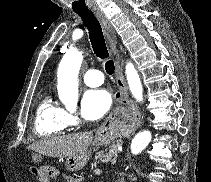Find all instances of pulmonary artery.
Returning <instances> with one entry per match:
<instances>
[{"label": "pulmonary artery", "instance_id": "pulmonary-artery-1", "mask_svg": "<svg viewBox=\"0 0 211 182\" xmlns=\"http://www.w3.org/2000/svg\"><path fill=\"white\" fill-rule=\"evenodd\" d=\"M84 83L90 87H96L103 83L104 75L100 70H88L83 76Z\"/></svg>", "mask_w": 211, "mask_h": 182}]
</instances>
